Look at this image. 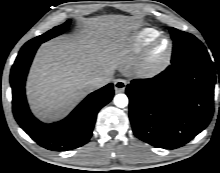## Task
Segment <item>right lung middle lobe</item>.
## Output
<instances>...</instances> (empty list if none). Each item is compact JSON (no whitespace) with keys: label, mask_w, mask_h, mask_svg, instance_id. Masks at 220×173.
I'll return each instance as SVG.
<instances>
[{"label":"right lung middle lobe","mask_w":220,"mask_h":173,"mask_svg":"<svg viewBox=\"0 0 220 173\" xmlns=\"http://www.w3.org/2000/svg\"><path fill=\"white\" fill-rule=\"evenodd\" d=\"M70 20H68L67 22H65L64 24L60 25V26H56L54 27L52 30H49L47 33L40 35L30 41H28L26 43V45H30L32 43H43L57 35L62 34L64 31H66L70 25Z\"/></svg>","instance_id":"1"}]
</instances>
